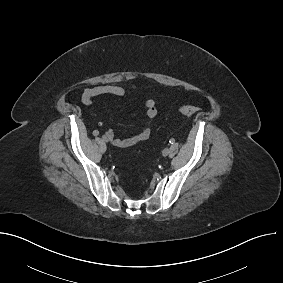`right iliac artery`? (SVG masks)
<instances>
[{
  "instance_id": "82829eb1",
  "label": "right iliac artery",
  "mask_w": 283,
  "mask_h": 283,
  "mask_svg": "<svg viewBox=\"0 0 283 283\" xmlns=\"http://www.w3.org/2000/svg\"><path fill=\"white\" fill-rule=\"evenodd\" d=\"M92 136L93 137H98L99 136V131L98 130H93L92 131Z\"/></svg>"
}]
</instances>
